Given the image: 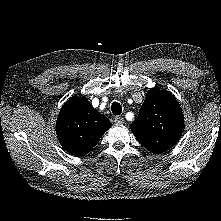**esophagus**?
Wrapping results in <instances>:
<instances>
[{
    "instance_id": "34e87169",
    "label": "esophagus",
    "mask_w": 221,
    "mask_h": 221,
    "mask_svg": "<svg viewBox=\"0 0 221 221\" xmlns=\"http://www.w3.org/2000/svg\"><path fill=\"white\" fill-rule=\"evenodd\" d=\"M115 124L122 125L124 124V118L120 116H116L114 119Z\"/></svg>"
}]
</instances>
